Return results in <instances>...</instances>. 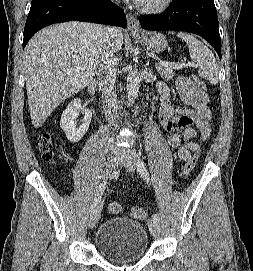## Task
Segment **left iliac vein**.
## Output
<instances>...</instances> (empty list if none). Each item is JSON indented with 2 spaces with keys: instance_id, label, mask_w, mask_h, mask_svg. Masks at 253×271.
Listing matches in <instances>:
<instances>
[{
  "instance_id": "4c4485c4",
  "label": "left iliac vein",
  "mask_w": 253,
  "mask_h": 271,
  "mask_svg": "<svg viewBox=\"0 0 253 271\" xmlns=\"http://www.w3.org/2000/svg\"><path fill=\"white\" fill-rule=\"evenodd\" d=\"M139 154L133 149H123L121 152V164L124 165L130 172H134L137 168ZM149 229L154 238L160 236V225L157 221L151 219L149 221Z\"/></svg>"
}]
</instances>
